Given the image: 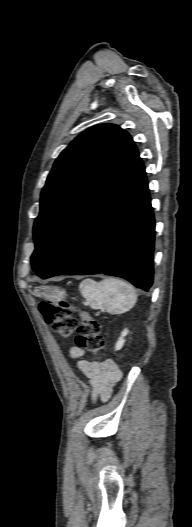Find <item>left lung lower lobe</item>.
Returning <instances> with one entry per match:
<instances>
[{"mask_svg": "<svg viewBox=\"0 0 192 527\" xmlns=\"http://www.w3.org/2000/svg\"><path fill=\"white\" fill-rule=\"evenodd\" d=\"M155 220L139 159L88 216L41 278L104 273L148 291L153 282Z\"/></svg>", "mask_w": 192, "mask_h": 527, "instance_id": "0a47b994", "label": "left lung lower lobe"}]
</instances>
